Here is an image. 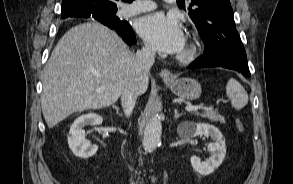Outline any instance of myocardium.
I'll return each mask as SVG.
<instances>
[{
	"instance_id": "myocardium-1",
	"label": "myocardium",
	"mask_w": 293,
	"mask_h": 184,
	"mask_svg": "<svg viewBox=\"0 0 293 184\" xmlns=\"http://www.w3.org/2000/svg\"><path fill=\"white\" fill-rule=\"evenodd\" d=\"M186 41L187 48L184 51L179 52L176 56L177 60L180 62H191L195 60L202 50V43L195 33L190 32Z\"/></svg>"
}]
</instances>
